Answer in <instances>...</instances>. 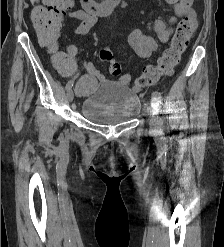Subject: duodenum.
Segmentation results:
<instances>
[{"label":"duodenum","instance_id":"duodenum-1","mask_svg":"<svg viewBox=\"0 0 224 247\" xmlns=\"http://www.w3.org/2000/svg\"><path fill=\"white\" fill-rule=\"evenodd\" d=\"M121 2V0H81L82 8L98 16L109 15Z\"/></svg>","mask_w":224,"mask_h":247}]
</instances>
